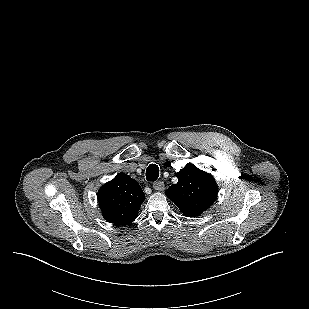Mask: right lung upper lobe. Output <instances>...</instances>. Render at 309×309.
<instances>
[{"label":"right lung upper lobe","instance_id":"right-lung-upper-lobe-1","mask_svg":"<svg viewBox=\"0 0 309 309\" xmlns=\"http://www.w3.org/2000/svg\"><path fill=\"white\" fill-rule=\"evenodd\" d=\"M144 200L145 195L140 185L125 173H119L98 192V202L104 218L116 225L133 222Z\"/></svg>","mask_w":309,"mask_h":309}]
</instances>
